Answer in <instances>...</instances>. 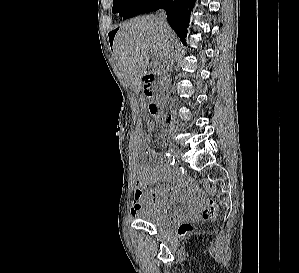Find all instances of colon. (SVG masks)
<instances>
[{"label": "colon", "instance_id": "5ec220e1", "mask_svg": "<svg viewBox=\"0 0 299 273\" xmlns=\"http://www.w3.org/2000/svg\"><path fill=\"white\" fill-rule=\"evenodd\" d=\"M145 142L147 145H150V143H151L148 140ZM216 214H217V208H216V204H215L214 200H212V199L207 200V202L205 203L203 210H202V217L205 220H213L216 217ZM192 231H193V227L189 223L180 224L177 229V232L180 236H187Z\"/></svg>", "mask_w": 299, "mask_h": 273}]
</instances>
